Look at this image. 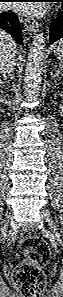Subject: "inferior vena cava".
Instances as JSON below:
<instances>
[{"instance_id":"1","label":"inferior vena cava","mask_w":63,"mask_h":297,"mask_svg":"<svg viewBox=\"0 0 63 297\" xmlns=\"http://www.w3.org/2000/svg\"><path fill=\"white\" fill-rule=\"evenodd\" d=\"M15 67V50L14 43H12L10 49L4 51L0 55V74L2 79L0 80L1 86L12 79L13 71Z\"/></svg>"}]
</instances>
